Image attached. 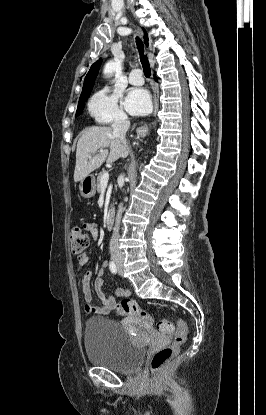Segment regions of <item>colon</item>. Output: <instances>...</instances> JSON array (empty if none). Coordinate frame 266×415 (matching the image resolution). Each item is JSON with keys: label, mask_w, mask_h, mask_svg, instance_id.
Returning a JSON list of instances; mask_svg holds the SVG:
<instances>
[{"label": "colon", "mask_w": 266, "mask_h": 415, "mask_svg": "<svg viewBox=\"0 0 266 415\" xmlns=\"http://www.w3.org/2000/svg\"><path fill=\"white\" fill-rule=\"evenodd\" d=\"M69 240L72 253L76 255L82 254L89 244L87 230L81 227H73L70 231ZM117 313L123 316L138 317L148 324L154 323L151 314L129 298H125L118 303ZM155 326L159 332L173 336V342L157 350L151 358L150 369L154 374H159L169 365L180 346L186 341L188 330L183 320L173 323L168 319H161L155 323Z\"/></svg>", "instance_id": "1"}]
</instances>
